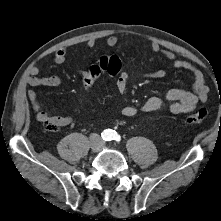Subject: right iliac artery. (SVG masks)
<instances>
[{
    "mask_svg": "<svg viewBox=\"0 0 221 221\" xmlns=\"http://www.w3.org/2000/svg\"><path fill=\"white\" fill-rule=\"evenodd\" d=\"M103 138L105 140H109L110 139V135H109V133L107 131L104 132Z\"/></svg>",
    "mask_w": 221,
    "mask_h": 221,
    "instance_id": "obj_1",
    "label": "right iliac artery"
}]
</instances>
